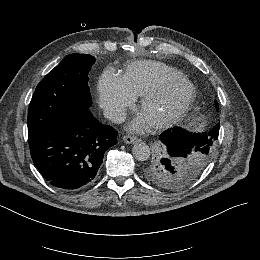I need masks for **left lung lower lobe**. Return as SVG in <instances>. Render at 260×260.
Returning <instances> with one entry per match:
<instances>
[{
	"mask_svg": "<svg viewBox=\"0 0 260 260\" xmlns=\"http://www.w3.org/2000/svg\"><path fill=\"white\" fill-rule=\"evenodd\" d=\"M220 124L209 132L189 133L183 128L176 127L164 131L161 142L172 157H183L196 152L210 151L218 138Z\"/></svg>",
	"mask_w": 260,
	"mask_h": 260,
	"instance_id": "left-lung-lower-lobe-1",
	"label": "left lung lower lobe"
}]
</instances>
